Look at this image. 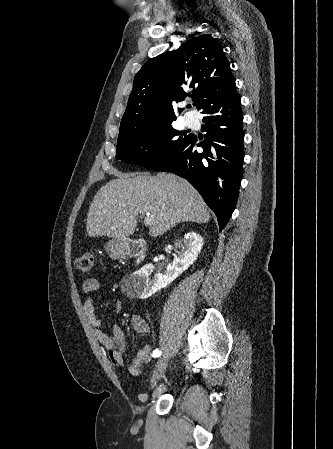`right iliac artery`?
<instances>
[{
    "mask_svg": "<svg viewBox=\"0 0 333 449\" xmlns=\"http://www.w3.org/2000/svg\"><path fill=\"white\" fill-rule=\"evenodd\" d=\"M161 355V351L159 349H155L153 351L152 357L156 358L159 357Z\"/></svg>",
    "mask_w": 333,
    "mask_h": 449,
    "instance_id": "82829eb1",
    "label": "right iliac artery"
}]
</instances>
